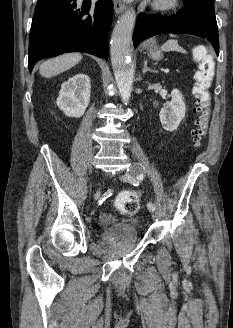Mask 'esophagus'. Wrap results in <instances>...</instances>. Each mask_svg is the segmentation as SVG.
<instances>
[{"mask_svg": "<svg viewBox=\"0 0 233 328\" xmlns=\"http://www.w3.org/2000/svg\"><path fill=\"white\" fill-rule=\"evenodd\" d=\"M114 10L117 14L124 12L126 9L125 4L121 0H113Z\"/></svg>", "mask_w": 233, "mask_h": 328, "instance_id": "obj_1", "label": "esophagus"}]
</instances>
